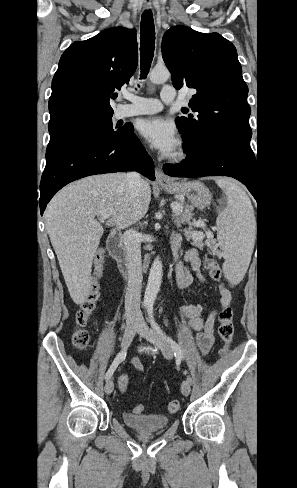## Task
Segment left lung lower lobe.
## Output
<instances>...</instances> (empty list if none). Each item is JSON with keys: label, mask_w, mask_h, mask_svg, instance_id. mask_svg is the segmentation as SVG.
Segmentation results:
<instances>
[{"label": "left lung lower lobe", "mask_w": 297, "mask_h": 488, "mask_svg": "<svg viewBox=\"0 0 297 488\" xmlns=\"http://www.w3.org/2000/svg\"><path fill=\"white\" fill-rule=\"evenodd\" d=\"M164 173L173 177L230 176L242 182L258 202L256 159L223 146H206L179 164L165 165Z\"/></svg>", "instance_id": "1"}]
</instances>
